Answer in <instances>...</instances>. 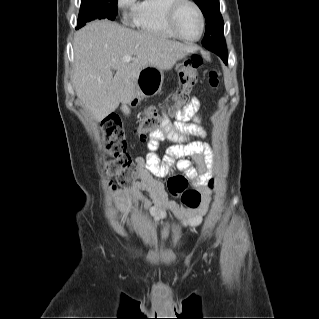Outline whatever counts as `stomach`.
Segmentation results:
<instances>
[{"label":"stomach","mask_w":319,"mask_h":319,"mask_svg":"<svg viewBox=\"0 0 319 319\" xmlns=\"http://www.w3.org/2000/svg\"><path fill=\"white\" fill-rule=\"evenodd\" d=\"M162 83V71L152 66L141 69L137 77L138 96L146 97L156 94L161 89Z\"/></svg>","instance_id":"obj_1"}]
</instances>
